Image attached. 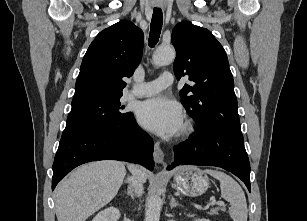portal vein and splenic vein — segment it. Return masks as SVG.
Here are the masks:
<instances>
[{
    "mask_svg": "<svg viewBox=\"0 0 307 221\" xmlns=\"http://www.w3.org/2000/svg\"><path fill=\"white\" fill-rule=\"evenodd\" d=\"M210 205H212V206H213V205L224 206L225 203H224L223 201H218V202L212 201L211 203L207 204L206 207H209Z\"/></svg>",
    "mask_w": 307,
    "mask_h": 221,
    "instance_id": "obj_1",
    "label": "portal vein and splenic vein"
}]
</instances>
